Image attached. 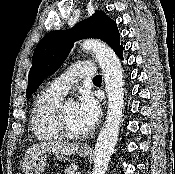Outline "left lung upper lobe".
Wrapping results in <instances>:
<instances>
[{"instance_id":"5c2ea615","label":"left lung upper lobe","mask_w":175,"mask_h":174,"mask_svg":"<svg viewBox=\"0 0 175 174\" xmlns=\"http://www.w3.org/2000/svg\"><path fill=\"white\" fill-rule=\"evenodd\" d=\"M85 38H98L106 42L116 53L123 48L116 23L103 11H96L73 29L48 33L37 45L28 76L29 98L44 78L54 73L68 56L73 43Z\"/></svg>"}]
</instances>
